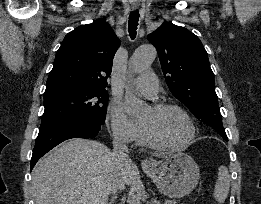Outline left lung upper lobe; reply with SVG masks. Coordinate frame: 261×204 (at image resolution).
I'll use <instances>...</instances> for the list:
<instances>
[{
	"label": "left lung upper lobe",
	"instance_id": "5c2ea615",
	"mask_svg": "<svg viewBox=\"0 0 261 204\" xmlns=\"http://www.w3.org/2000/svg\"><path fill=\"white\" fill-rule=\"evenodd\" d=\"M157 49L172 94L228 141L215 92L214 74L200 39L184 27L162 24L147 36Z\"/></svg>",
	"mask_w": 261,
	"mask_h": 204
}]
</instances>
